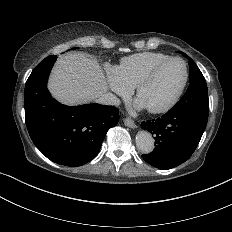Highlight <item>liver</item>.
<instances>
[{
    "mask_svg": "<svg viewBox=\"0 0 232 232\" xmlns=\"http://www.w3.org/2000/svg\"><path fill=\"white\" fill-rule=\"evenodd\" d=\"M48 89L63 104L75 105L96 101L107 92L108 84L97 59L70 52L57 60Z\"/></svg>",
    "mask_w": 232,
    "mask_h": 232,
    "instance_id": "6515ba94",
    "label": "liver"
}]
</instances>
